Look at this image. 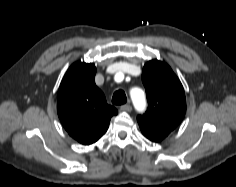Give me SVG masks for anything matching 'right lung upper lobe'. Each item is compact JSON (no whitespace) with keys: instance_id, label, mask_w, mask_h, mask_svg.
Here are the masks:
<instances>
[{"instance_id":"1","label":"right lung upper lobe","mask_w":236,"mask_h":187,"mask_svg":"<svg viewBox=\"0 0 236 187\" xmlns=\"http://www.w3.org/2000/svg\"><path fill=\"white\" fill-rule=\"evenodd\" d=\"M94 64L76 62L66 72L57 94V112L63 127L79 143L89 145L107 131L118 114L95 85Z\"/></svg>"}]
</instances>
